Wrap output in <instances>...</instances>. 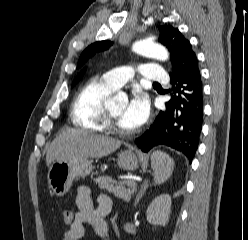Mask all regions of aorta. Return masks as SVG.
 I'll list each match as a JSON object with an SVG mask.
<instances>
[{"label":"aorta","instance_id":"762f6f07","mask_svg":"<svg viewBox=\"0 0 248 240\" xmlns=\"http://www.w3.org/2000/svg\"><path fill=\"white\" fill-rule=\"evenodd\" d=\"M133 51L142 56L156 58L161 61H166L169 58L166 48L151 39L137 41L133 45ZM118 97H124V94L119 93Z\"/></svg>","mask_w":248,"mask_h":240}]
</instances>
